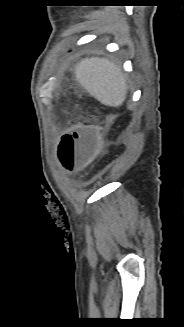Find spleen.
Masks as SVG:
<instances>
[{
	"label": "spleen",
	"mask_w": 184,
	"mask_h": 327,
	"mask_svg": "<svg viewBox=\"0 0 184 327\" xmlns=\"http://www.w3.org/2000/svg\"><path fill=\"white\" fill-rule=\"evenodd\" d=\"M76 80L94 98L107 106L122 105L127 84L120 67L107 59H82L75 67Z\"/></svg>",
	"instance_id": "obj_1"
}]
</instances>
